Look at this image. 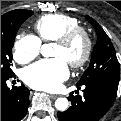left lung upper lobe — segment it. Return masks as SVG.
Instances as JSON below:
<instances>
[{
	"label": "left lung upper lobe",
	"mask_w": 121,
	"mask_h": 121,
	"mask_svg": "<svg viewBox=\"0 0 121 121\" xmlns=\"http://www.w3.org/2000/svg\"><path fill=\"white\" fill-rule=\"evenodd\" d=\"M86 19L95 28L98 39L92 52L90 65L77 82V85L101 82L118 87L120 67L115 49L102 27L91 17L86 16Z\"/></svg>",
	"instance_id": "1"
}]
</instances>
